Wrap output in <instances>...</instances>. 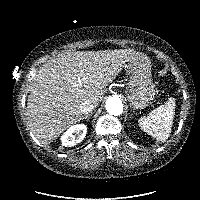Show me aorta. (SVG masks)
Listing matches in <instances>:
<instances>
[{"mask_svg": "<svg viewBox=\"0 0 200 200\" xmlns=\"http://www.w3.org/2000/svg\"><path fill=\"white\" fill-rule=\"evenodd\" d=\"M106 110L111 114L118 116L123 112V103L118 97H110L106 101Z\"/></svg>", "mask_w": 200, "mask_h": 200, "instance_id": "1", "label": "aorta"}]
</instances>
